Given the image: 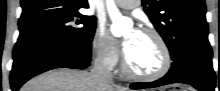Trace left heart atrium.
I'll return each mask as SVG.
<instances>
[{
	"mask_svg": "<svg viewBox=\"0 0 220 91\" xmlns=\"http://www.w3.org/2000/svg\"><path fill=\"white\" fill-rule=\"evenodd\" d=\"M138 31L137 30H133L131 31V33L124 39L123 41V48L124 50H127L128 47L130 46L132 40L135 38V36L137 35Z\"/></svg>",
	"mask_w": 220,
	"mask_h": 91,
	"instance_id": "left-heart-atrium-1",
	"label": "left heart atrium"
}]
</instances>
